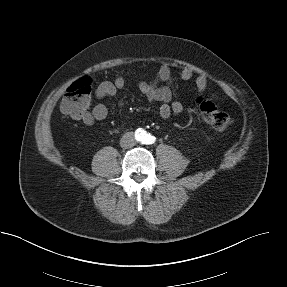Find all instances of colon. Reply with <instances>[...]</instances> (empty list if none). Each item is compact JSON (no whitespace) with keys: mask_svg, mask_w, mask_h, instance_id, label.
Wrapping results in <instances>:
<instances>
[{"mask_svg":"<svg viewBox=\"0 0 287 287\" xmlns=\"http://www.w3.org/2000/svg\"><path fill=\"white\" fill-rule=\"evenodd\" d=\"M92 99V80L85 76L72 83L61 102L62 113L80 119L89 111ZM196 105L202 120L219 131L227 129L232 119L228 113L219 109L213 102L198 97Z\"/></svg>","mask_w":287,"mask_h":287,"instance_id":"1","label":"colon"}]
</instances>
